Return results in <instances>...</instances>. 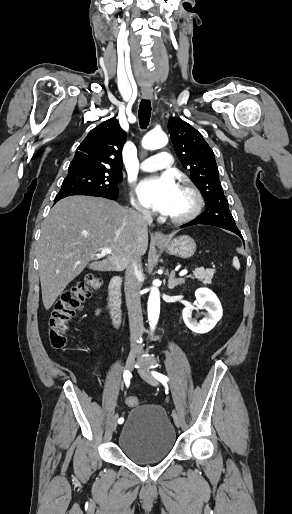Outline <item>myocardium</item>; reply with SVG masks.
Here are the masks:
<instances>
[{"label":"myocardium","mask_w":292,"mask_h":514,"mask_svg":"<svg viewBox=\"0 0 292 514\" xmlns=\"http://www.w3.org/2000/svg\"><path fill=\"white\" fill-rule=\"evenodd\" d=\"M180 189L182 191L186 192L190 196L192 204H191L190 209L184 214H181V215H174V214H170V213L167 214V216L170 218V220L173 222H176V223H181V222H186V221L191 220L199 213V211L201 210V207H202V196H201V193L199 192V190L195 186H193L190 182L186 181L180 185Z\"/></svg>","instance_id":"f54148a6"}]
</instances>
